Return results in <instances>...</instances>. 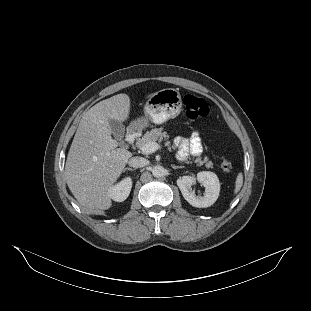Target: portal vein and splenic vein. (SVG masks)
Masks as SVG:
<instances>
[{
	"instance_id": "1",
	"label": "portal vein and splenic vein",
	"mask_w": 311,
	"mask_h": 311,
	"mask_svg": "<svg viewBox=\"0 0 311 311\" xmlns=\"http://www.w3.org/2000/svg\"><path fill=\"white\" fill-rule=\"evenodd\" d=\"M160 148V145L157 142H150L145 144L140 150L145 154L154 153Z\"/></svg>"
}]
</instances>
